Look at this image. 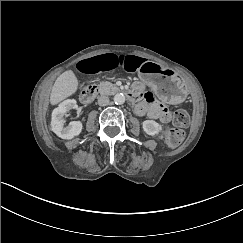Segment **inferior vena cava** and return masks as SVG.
<instances>
[{
  "label": "inferior vena cava",
  "mask_w": 243,
  "mask_h": 243,
  "mask_svg": "<svg viewBox=\"0 0 243 243\" xmlns=\"http://www.w3.org/2000/svg\"><path fill=\"white\" fill-rule=\"evenodd\" d=\"M110 102V99L108 96H99L97 99V103L99 106H106Z\"/></svg>",
  "instance_id": "1"
}]
</instances>
